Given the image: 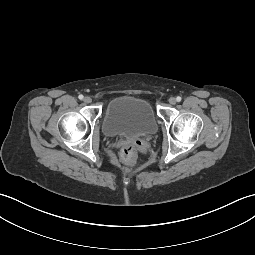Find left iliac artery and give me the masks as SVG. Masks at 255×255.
Instances as JSON below:
<instances>
[{
  "label": "left iliac artery",
  "mask_w": 255,
  "mask_h": 255,
  "mask_svg": "<svg viewBox=\"0 0 255 255\" xmlns=\"http://www.w3.org/2000/svg\"><path fill=\"white\" fill-rule=\"evenodd\" d=\"M176 100H177V102H180L182 100V98L180 96H177Z\"/></svg>",
  "instance_id": "44dca946"
}]
</instances>
